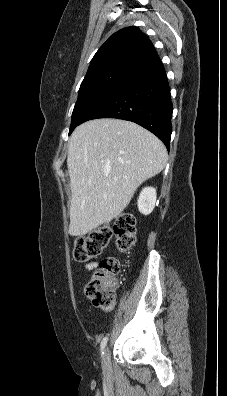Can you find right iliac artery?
I'll list each match as a JSON object with an SVG mask.
<instances>
[{"label":"right iliac artery","mask_w":227,"mask_h":396,"mask_svg":"<svg viewBox=\"0 0 227 396\" xmlns=\"http://www.w3.org/2000/svg\"><path fill=\"white\" fill-rule=\"evenodd\" d=\"M108 341V337H104L103 340L101 341V345H100V349H101V353L104 354V348L107 344Z\"/></svg>","instance_id":"1"}]
</instances>
